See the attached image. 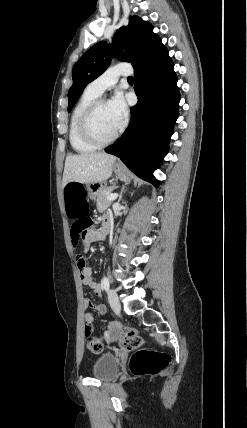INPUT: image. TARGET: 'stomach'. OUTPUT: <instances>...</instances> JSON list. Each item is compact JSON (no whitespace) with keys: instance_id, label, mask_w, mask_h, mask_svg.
Wrapping results in <instances>:
<instances>
[{"instance_id":"0dacf381","label":"stomach","mask_w":247,"mask_h":428,"mask_svg":"<svg viewBox=\"0 0 247 428\" xmlns=\"http://www.w3.org/2000/svg\"><path fill=\"white\" fill-rule=\"evenodd\" d=\"M114 172L117 178H119L122 181H127L129 179L127 170L122 165H115ZM101 187H103L102 183L87 184V191L90 199H95L97 197L98 191L101 189Z\"/></svg>"}]
</instances>
